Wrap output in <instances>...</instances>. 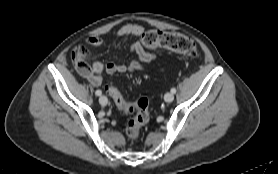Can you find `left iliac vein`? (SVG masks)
<instances>
[{
    "mask_svg": "<svg viewBox=\"0 0 278 174\" xmlns=\"http://www.w3.org/2000/svg\"><path fill=\"white\" fill-rule=\"evenodd\" d=\"M174 99V95L173 93H170V92H167L165 95H164V100L165 102L167 103H171Z\"/></svg>",
    "mask_w": 278,
    "mask_h": 174,
    "instance_id": "obj_1",
    "label": "left iliac vein"
}]
</instances>
